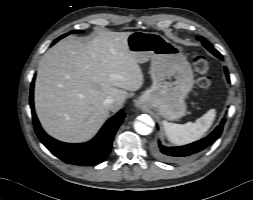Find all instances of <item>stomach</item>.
I'll return each instance as SVG.
<instances>
[{"mask_svg":"<svg viewBox=\"0 0 253 200\" xmlns=\"http://www.w3.org/2000/svg\"><path fill=\"white\" fill-rule=\"evenodd\" d=\"M127 45L138 63L151 60L153 83L140 96V104L168 120L184 116L194 75L180 48L158 33L143 31L132 32Z\"/></svg>","mask_w":253,"mask_h":200,"instance_id":"1","label":"stomach"}]
</instances>
